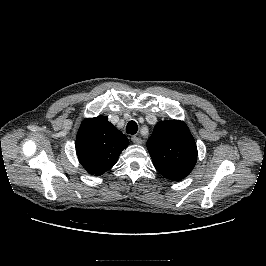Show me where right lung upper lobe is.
Listing matches in <instances>:
<instances>
[{"label": "right lung upper lobe", "instance_id": "obj_1", "mask_svg": "<svg viewBox=\"0 0 266 266\" xmlns=\"http://www.w3.org/2000/svg\"><path fill=\"white\" fill-rule=\"evenodd\" d=\"M128 144L127 137L106 116H98L82 122L75 146L82 166L88 173L99 176L115 165Z\"/></svg>", "mask_w": 266, "mask_h": 266}]
</instances>
